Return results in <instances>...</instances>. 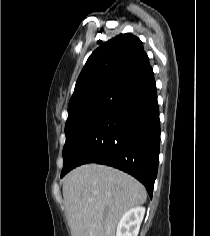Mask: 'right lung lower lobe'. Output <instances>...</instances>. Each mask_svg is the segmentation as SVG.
I'll return each mask as SVG.
<instances>
[{
	"label": "right lung lower lobe",
	"mask_w": 210,
	"mask_h": 236,
	"mask_svg": "<svg viewBox=\"0 0 210 236\" xmlns=\"http://www.w3.org/2000/svg\"><path fill=\"white\" fill-rule=\"evenodd\" d=\"M160 120L154 75L130 88L89 131L61 172L85 163L123 170L152 197L157 176Z\"/></svg>",
	"instance_id": "1"
}]
</instances>
